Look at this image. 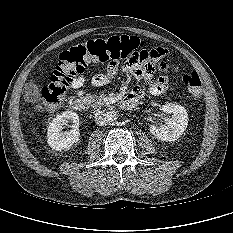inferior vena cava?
<instances>
[{
    "instance_id": "602c4592",
    "label": "inferior vena cava",
    "mask_w": 233,
    "mask_h": 233,
    "mask_svg": "<svg viewBox=\"0 0 233 233\" xmlns=\"http://www.w3.org/2000/svg\"><path fill=\"white\" fill-rule=\"evenodd\" d=\"M95 121H96V124L99 126H104L108 123L106 114L100 110H97L95 112Z\"/></svg>"
}]
</instances>
